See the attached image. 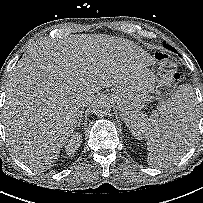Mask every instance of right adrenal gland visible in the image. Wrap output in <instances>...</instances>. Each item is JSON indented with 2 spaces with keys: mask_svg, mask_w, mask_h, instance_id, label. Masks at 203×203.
I'll list each match as a JSON object with an SVG mask.
<instances>
[{
  "mask_svg": "<svg viewBox=\"0 0 203 203\" xmlns=\"http://www.w3.org/2000/svg\"><path fill=\"white\" fill-rule=\"evenodd\" d=\"M82 122H83V114H82V111H81V118H80V122H79V124H78V127H80V125L82 124Z\"/></svg>",
  "mask_w": 203,
  "mask_h": 203,
  "instance_id": "obj_1",
  "label": "right adrenal gland"
}]
</instances>
